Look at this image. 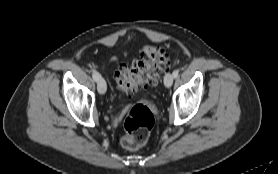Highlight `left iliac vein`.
<instances>
[{
    "label": "left iliac vein",
    "mask_w": 278,
    "mask_h": 174,
    "mask_svg": "<svg viewBox=\"0 0 278 174\" xmlns=\"http://www.w3.org/2000/svg\"><path fill=\"white\" fill-rule=\"evenodd\" d=\"M173 75L171 73H167L164 77V84L167 88L171 87L173 84Z\"/></svg>",
    "instance_id": "left-iliac-vein-1"
}]
</instances>
